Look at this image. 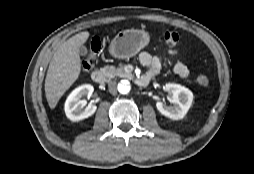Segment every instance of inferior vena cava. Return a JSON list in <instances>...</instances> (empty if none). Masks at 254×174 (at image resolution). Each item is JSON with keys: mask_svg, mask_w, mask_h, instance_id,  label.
Segmentation results:
<instances>
[{"mask_svg": "<svg viewBox=\"0 0 254 174\" xmlns=\"http://www.w3.org/2000/svg\"><path fill=\"white\" fill-rule=\"evenodd\" d=\"M108 89H109V92L113 95H115L117 93V83L116 81H110L108 83Z\"/></svg>", "mask_w": 254, "mask_h": 174, "instance_id": "inferior-vena-cava-1", "label": "inferior vena cava"}]
</instances>
